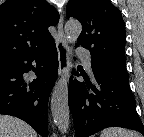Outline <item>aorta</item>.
<instances>
[{"label":"aorta","instance_id":"aorta-1","mask_svg":"<svg viewBox=\"0 0 144 137\" xmlns=\"http://www.w3.org/2000/svg\"><path fill=\"white\" fill-rule=\"evenodd\" d=\"M68 43L73 44L79 38L82 25L77 20H69L64 27ZM51 111L53 120L62 132H67L70 123V110L68 105V79L62 76L55 84L51 94Z\"/></svg>","mask_w":144,"mask_h":137}]
</instances>
